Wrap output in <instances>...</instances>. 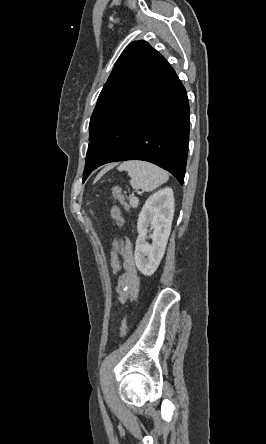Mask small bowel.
Returning <instances> with one entry per match:
<instances>
[{
    "label": "small bowel",
    "instance_id": "c3829d8e",
    "mask_svg": "<svg viewBox=\"0 0 266 444\" xmlns=\"http://www.w3.org/2000/svg\"><path fill=\"white\" fill-rule=\"evenodd\" d=\"M124 272L118 279L116 292L120 296L121 301L136 298L139 291V278L136 273L133 260L132 250L129 243L121 248Z\"/></svg>",
    "mask_w": 266,
    "mask_h": 444
}]
</instances>
